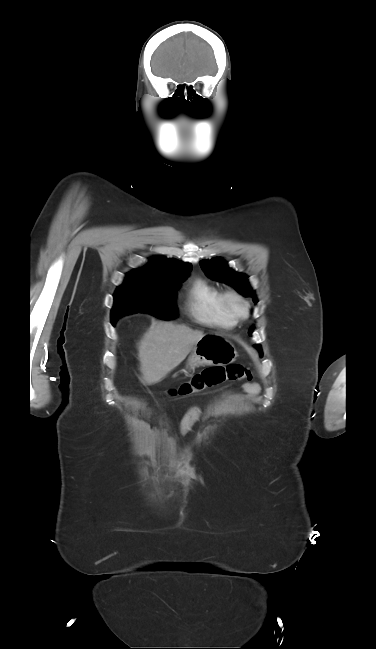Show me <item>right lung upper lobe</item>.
<instances>
[{
    "mask_svg": "<svg viewBox=\"0 0 376 649\" xmlns=\"http://www.w3.org/2000/svg\"><path fill=\"white\" fill-rule=\"evenodd\" d=\"M191 267L189 263L157 256L151 258L148 265L136 271L149 276L159 277L191 271Z\"/></svg>",
    "mask_w": 376,
    "mask_h": 649,
    "instance_id": "right-lung-upper-lobe-1",
    "label": "right lung upper lobe"
}]
</instances>
